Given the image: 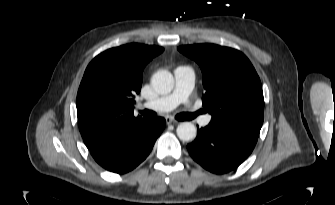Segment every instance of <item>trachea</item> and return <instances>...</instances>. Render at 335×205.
Instances as JSON below:
<instances>
[{
	"label": "trachea",
	"mask_w": 335,
	"mask_h": 205,
	"mask_svg": "<svg viewBox=\"0 0 335 205\" xmlns=\"http://www.w3.org/2000/svg\"><path fill=\"white\" fill-rule=\"evenodd\" d=\"M140 113L143 115L145 118H153L157 116V113L151 110H144L140 111ZM199 113V112H198ZM198 113L195 114H189V113H180L176 115V119L180 121L184 120H192Z\"/></svg>",
	"instance_id": "trachea-1"
}]
</instances>
